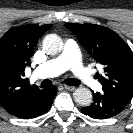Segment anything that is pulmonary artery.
Segmentation results:
<instances>
[{"label": "pulmonary artery", "mask_w": 133, "mask_h": 133, "mask_svg": "<svg viewBox=\"0 0 133 133\" xmlns=\"http://www.w3.org/2000/svg\"><path fill=\"white\" fill-rule=\"evenodd\" d=\"M67 70H71L78 79L89 87L95 90L101 88L91 71L83 65L78 45L73 39L65 41L63 50L57 57L38 66L34 71V76L36 78H50Z\"/></svg>", "instance_id": "pulmonary-artery-1"}]
</instances>
